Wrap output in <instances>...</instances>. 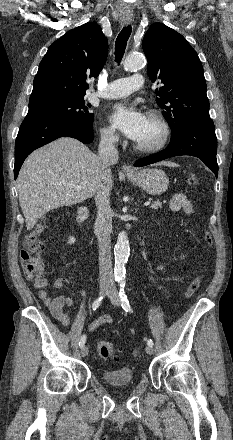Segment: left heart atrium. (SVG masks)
<instances>
[{"mask_svg": "<svg viewBox=\"0 0 233 440\" xmlns=\"http://www.w3.org/2000/svg\"><path fill=\"white\" fill-rule=\"evenodd\" d=\"M147 117L135 106L124 103L113 105L109 112L112 125L132 140H137L146 124Z\"/></svg>", "mask_w": 233, "mask_h": 440, "instance_id": "left-heart-atrium-1", "label": "left heart atrium"}]
</instances>
